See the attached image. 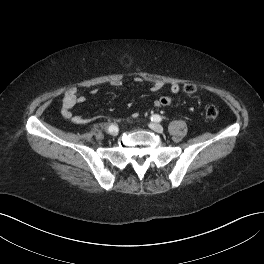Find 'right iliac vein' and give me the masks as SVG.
Wrapping results in <instances>:
<instances>
[{"label":"right iliac vein","instance_id":"1","mask_svg":"<svg viewBox=\"0 0 264 264\" xmlns=\"http://www.w3.org/2000/svg\"><path fill=\"white\" fill-rule=\"evenodd\" d=\"M112 136H116L118 134V130L115 128L112 132H110Z\"/></svg>","mask_w":264,"mask_h":264}]
</instances>
